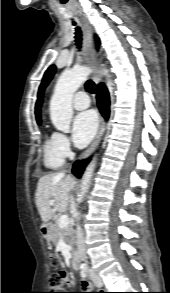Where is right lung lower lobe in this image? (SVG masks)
<instances>
[{
  "instance_id": "98d812e1",
  "label": "right lung lower lobe",
  "mask_w": 170,
  "mask_h": 293,
  "mask_svg": "<svg viewBox=\"0 0 170 293\" xmlns=\"http://www.w3.org/2000/svg\"><path fill=\"white\" fill-rule=\"evenodd\" d=\"M97 102L100 109V112L102 115L108 119L109 117V105H110V99L109 94L106 89V87L103 84H100L98 86V94H97ZM89 162V159L84 161H77L74 163L72 173L77 177L80 178L84 168L86 167L87 163Z\"/></svg>"
}]
</instances>
